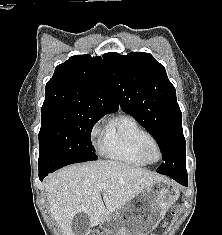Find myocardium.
Listing matches in <instances>:
<instances>
[{
    "label": "myocardium",
    "mask_w": 222,
    "mask_h": 235,
    "mask_svg": "<svg viewBox=\"0 0 222 235\" xmlns=\"http://www.w3.org/2000/svg\"><path fill=\"white\" fill-rule=\"evenodd\" d=\"M151 148H155L158 151V158L154 161L149 159V151ZM140 155L141 158L147 163V164H156L158 162H160L162 160L163 157V152L162 149L160 147V145L158 144V142L156 140L145 143L141 150H140Z\"/></svg>",
    "instance_id": "f54148a6"
}]
</instances>
